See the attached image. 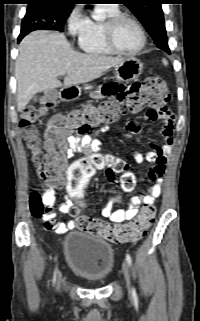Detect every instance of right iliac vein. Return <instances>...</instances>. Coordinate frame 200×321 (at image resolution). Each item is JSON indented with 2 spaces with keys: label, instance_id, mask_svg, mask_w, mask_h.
<instances>
[{
  "label": "right iliac vein",
  "instance_id": "right-iliac-vein-1",
  "mask_svg": "<svg viewBox=\"0 0 200 321\" xmlns=\"http://www.w3.org/2000/svg\"><path fill=\"white\" fill-rule=\"evenodd\" d=\"M60 287V281H59V284H58V288Z\"/></svg>",
  "mask_w": 200,
  "mask_h": 321
}]
</instances>
